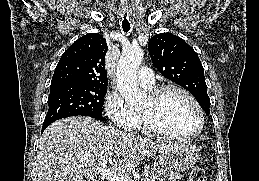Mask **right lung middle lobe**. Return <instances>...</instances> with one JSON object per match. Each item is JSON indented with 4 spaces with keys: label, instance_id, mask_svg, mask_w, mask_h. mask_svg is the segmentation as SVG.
Instances as JSON below:
<instances>
[{
    "label": "right lung middle lobe",
    "instance_id": "obj_1",
    "mask_svg": "<svg viewBox=\"0 0 259 181\" xmlns=\"http://www.w3.org/2000/svg\"><path fill=\"white\" fill-rule=\"evenodd\" d=\"M107 88L62 85L50 87L49 109L43 125L76 115L102 119V107Z\"/></svg>",
    "mask_w": 259,
    "mask_h": 181
}]
</instances>
